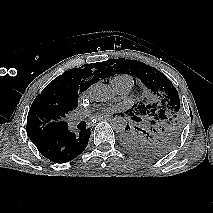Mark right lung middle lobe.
Here are the masks:
<instances>
[{"mask_svg":"<svg viewBox=\"0 0 213 213\" xmlns=\"http://www.w3.org/2000/svg\"><path fill=\"white\" fill-rule=\"evenodd\" d=\"M76 109V106L69 103H60L43 106L30 120L33 129L38 136L51 135L63 123L68 112Z\"/></svg>","mask_w":213,"mask_h":213,"instance_id":"right-lung-middle-lobe-1","label":"right lung middle lobe"}]
</instances>
